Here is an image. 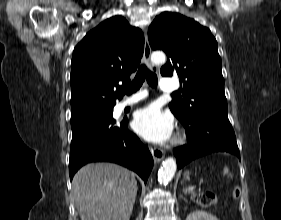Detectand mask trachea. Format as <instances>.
<instances>
[{
    "mask_svg": "<svg viewBox=\"0 0 281 220\" xmlns=\"http://www.w3.org/2000/svg\"><path fill=\"white\" fill-rule=\"evenodd\" d=\"M145 79H147L150 86L157 87L158 80L156 74L143 64L139 67L134 80L128 86L120 88V92L127 95L135 93L140 89ZM173 95H177V93H173Z\"/></svg>",
    "mask_w": 281,
    "mask_h": 220,
    "instance_id": "obj_1",
    "label": "trachea"
}]
</instances>
